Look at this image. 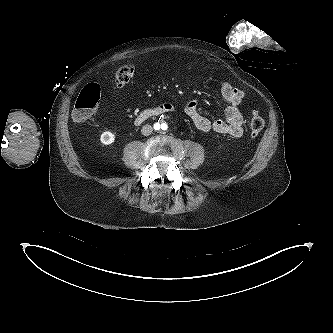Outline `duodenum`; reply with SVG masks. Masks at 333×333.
<instances>
[{
	"mask_svg": "<svg viewBox=\"0 0 333 333\" xmlns=\"http://www.w3.org/2000/svg\"><path fill=\"white\" fill-rule=\"evenodd\" d=\"M174 110V107L172 104L170 103H164L158 107L155 108H150V109H146L144 111H142L141 113H139L134 122L136 125L142 124L143 122H145L146 120L154 117V116H158L164 113H168V112H172Z\"/></svg>",
	"mask_w": 333,
	"mask_h": 333,
	"instance_id": "410a0bca",
	"label": "duodenum"
}]
</instances>
